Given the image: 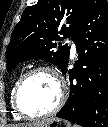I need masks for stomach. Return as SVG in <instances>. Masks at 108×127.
I'll list each match as a JSON object with an SVG mask.
<instances>
[{
    "label": "stomach",
    "mask_w": 108,
    "mask_h": 127,
    "mask_svg": "<svg viewBox=\"0 0 108 127\" xmlns=\"http://www.w3.org/2000/svg\"><path fill=\"white\" fill-rule=\"evenodd\" d=\"M43 127H72L71 123L63 119H54Z\"/></svg>",
    "instance_id": "0dacf381"
}]
</instances>
